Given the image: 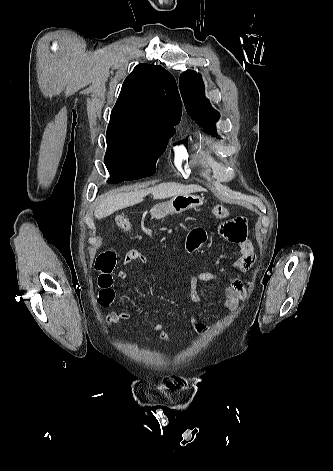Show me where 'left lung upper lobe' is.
Returning <instances> with one entry per match:
<instances>
[{
	"label": "left lung upper lobe",
	"mask_w": 333,
	"mask_h": 471,
	"mask_svg": "<svg viewBox=\"0 0 333 471\" xmlns=\"http://www.w3.org/2000/svg\"><path fill=\"white\" fill-rule=\"evenodd\" d=\"M179 85L187 113L207 132L215 135L214 123L219 119V113L204 96L200 74L190 70L182 73Z\"/></svg>",
	"instance_id": "1"
}]
</instances>
